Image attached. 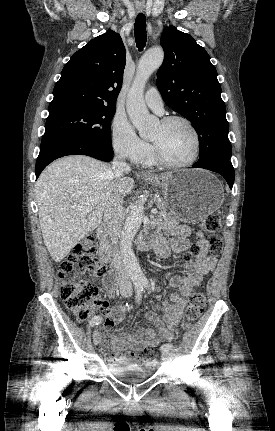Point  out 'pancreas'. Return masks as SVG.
I'll list each match as a JSON object with an SVG mask.
<instances>
[{
    "label": "pancreas",
    "instance_id": "pancreas-1",
    "mask_svg": "<svg viewBox=\"0 0 275 431\" xmlns=\"http://www.w3.org/2000/svg\"><path fill=\"white\" fill-rule=\"evenodd\" d=\"M155 203L159 211L165 216H170L172 214L171 212H168L169 207L163 199L158 198L155 200Z\"/></svg>",
    "mask_w": 275,
    "mask_h": 431
}]
</instances>
